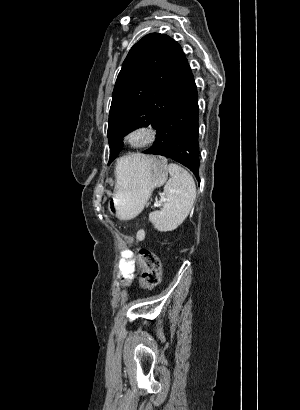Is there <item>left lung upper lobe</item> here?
Returning a JSON list of instances; mask_svg holds the SVG:
<instances>
[{
  "label": "left lung upper lobe",
  "instance_id": "left-lung-upper-lobe-1",
  "mask_svg": "<svg viewBox=\"0 0 300 410\" xmlns=\"http://www.w3.org/2000/svg\"><path fill=\"white\" fill-rule=\"evenodd\" d=\"M191 75L181 46L165 34H148L130 49L112 95L109 164L121 151L126 134L150 124L157 129L181 97Z\"/></svg>",
  "mask_w": 300,
  "mask_h": 410
}]
</instances>
